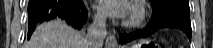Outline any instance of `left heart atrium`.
<instances>
[{"instance_id":"left-heart-atrium-1","label":"left heart atrium","mask_w":213,"mask_h":48,"mask_svg":"<svg viewBox=\"0 0 213 48\" xmlns=\"http://www.w3.org/2000/svg\"><path fill=\"white\" fill-rule=\"evenodd\" d=\"M97 8L103 14L115 18H126L129 14L128 2L125 0H100Z\"/></svg>"}]
</instances>
